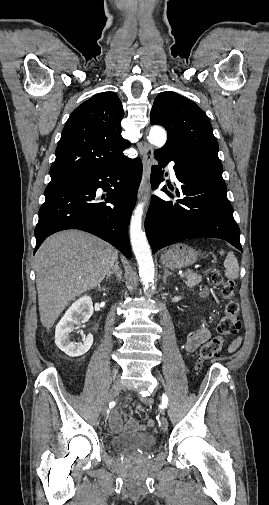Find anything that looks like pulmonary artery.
Segmentation results:
<instances>
[{
	"label": "pulmonary artery",
	"mask_w": 269,
	"mask_h": 505,
	"mask_svg": "<svg viewBox=\"0 0 269 505\" xmlns=\"http://www.w3.org/2000/svg\"><path fill=\"white\" fill-rule=\"evenodd\" d=\"M168 169H169V172H170L171 179L174 180V181H176L177 177H176V173H175L174 168H173V164H170L168 166Z\"/></svg>",
	"instance_id": "pulmonary-artery-1"
}]
</instances>
